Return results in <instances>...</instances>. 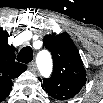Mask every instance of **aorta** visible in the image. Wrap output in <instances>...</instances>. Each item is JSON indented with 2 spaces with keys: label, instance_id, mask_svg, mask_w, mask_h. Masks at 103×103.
Returning a JSON list of instances; mask_svg holds the SVG:
<instances>
[{
  "label": "aorta",
  "instance_id": "1",
  "mask_svg": "<svg viewBox=\"0 0 103 103\" xmlns=\"http://www.w3.org/2000/svg\"><path fill=\"white\" fill-rule=\"evenodd\" d=\"M37 65L40 72L47 75L52 69L51 55L47 50H42L37 55Z\"/></svg>",
  "mask_w": 103,
  "mask_h": 103
}]
</instances>
